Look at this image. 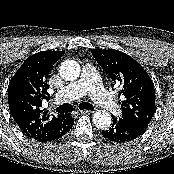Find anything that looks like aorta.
<instances>
[{"label": "aorta", "mask_w": 174, "mask_h": 174, "mask_svg": "<svg viewBox=\"0 0 174 174\" xmlns=\"http://www.w3.org/2000/svg\"><path fill=\"white\" fill-rule=\"evenodd\" d=\"M80 65L74 60L62 62L59 72L60 76L67 81H74L80 76ZM94 125L99 129H107L112 123V117L105 110H98L93 115Z\"/></svg>", "instance_id": "aorta-1"}]
</instances>
